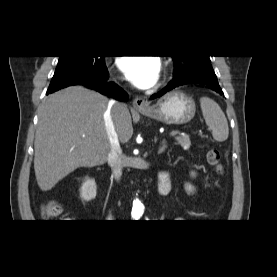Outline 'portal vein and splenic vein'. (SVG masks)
I'll list each match as a JSON object with an SVG mask.
<instances>
[{
  "label": "portal vein and splenic vein",
  "mask_w": 277,
  "mask_h": 277,
  "mask_svg": "<svg viewBox=\"0 0 277 277\" xmlns=\"http://www.w3.org/2000/svg\"><path fill=\"white\" fill-rule=\"evenodd\" d=\"M178 134H180V132L179 131H172V132H170V136H172V137H174V136H177Z\"/></svg>",
  "instance_id": "1"
}]
</instances>
